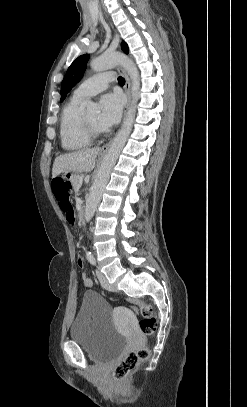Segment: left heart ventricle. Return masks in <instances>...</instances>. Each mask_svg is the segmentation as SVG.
<instances>
[{
    "label": "left heart ventricle",
    "instance_id": "obj_1",
    "mask_svg": "<svg viewBox=\"0 0 247 407\" xmlns=\"http://www.w3.org/2000/svg\"><path fill=\"white\" fill-rule=\"evenodd\" d=\"M99 111L95 110V111H89L86 112L85 115L87 117V119L96 127L98 128H103L100 124H99Z\"/></svg>",
    "mask_w": 247,
    "mask_h": 407
}]
</instances>
